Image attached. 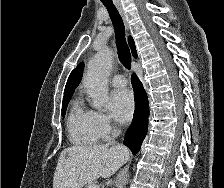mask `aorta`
I'll list each match as a JSON object with an SVG mask.
<instances>
[{
    "label": "aorta",
    "instance_id": "1",
    "mask_svg": "<svg viewBox=\"0 0 224 188\" xmlns=\"http://www.w3.org/2000/svg\"><path fill=\"white\" fill-rule=\"evenodd\" d=\"M113 52L109 49L99 51L89 62L85 78V87L92 98L93 107L100 109L108 100L107 81L112 68ZM128 179L124 178L120 188H123Z\"/></svg>",
    "mask_w": 224,
    "mask_h": 188
}]
</instances>
